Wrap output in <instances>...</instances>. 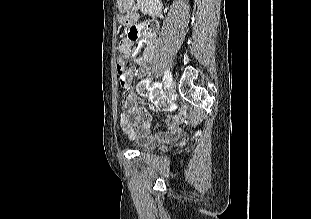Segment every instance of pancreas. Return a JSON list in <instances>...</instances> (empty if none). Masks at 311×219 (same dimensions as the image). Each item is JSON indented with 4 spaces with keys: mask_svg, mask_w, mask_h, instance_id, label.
<instances>
[{
    "mask_svg": "<svg viewBox=\"0 0 311 219\" xmlns=\"http://www.w3.org/2000/svg\"><path fill=\"white\" fill-rule=\"evenodd\" d=\"M155 0H137V3L133 6V10L137 11L138 9H141L142 13L146 14L152 9L156 7Z\"/></svg>",
    "mask_w": 311,
    "mask_h": 219,
    "instance_id": "1",
    "label": "pancreas"
}]
</instances>
